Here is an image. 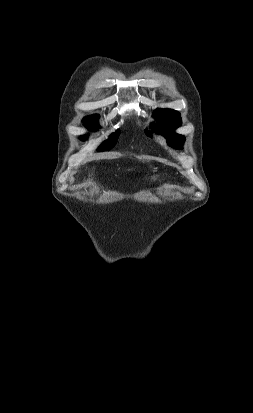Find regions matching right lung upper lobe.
Here are the masks:
<instances>
[{
  "instance_id": "right-lung-upper-lobe-1",
  "label": "right lung upper lobe",
  "mask_w": 253,
  "mask_h": 413,
  "mask_svg": "<svg viewBox=\"0 0 253 413\" xmlns=\"http://www.w3.org/2000/svg\"><path fill=\"white\" fill-rule=\"evenodd\" d=\"M82 122H83L85 125L97 124V123H98V116H96V115L88 116V117L84 118V119L82 120Z\"/></svg>"
}]
</instances>
